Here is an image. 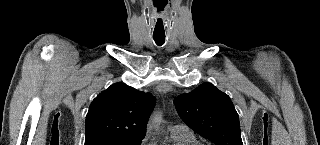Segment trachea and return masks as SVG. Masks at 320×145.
Masks as SVG:
<instances>
[{
  "label": "trachea",
  "instance_id": "trachea-1",
  "mask_svg": "<svg viewBox=\"0 0 320 145\" xmlns=\"http://www.w3.org/2000/svg\"><path fill=\"white\" fill-rule=\"evenodd\" d=\"M153 39H154L155 43H156L158 46L163 45L164 42H165V37H156V36H153Z\"/></svg>",
  "mask_w": 320,
  "mask_h": 145
}]
</instances>
